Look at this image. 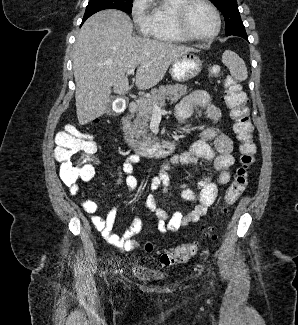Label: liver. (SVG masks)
I'll return each mask as SVG.
<instances>
[{
	"mask_svg": "<svg viewBox=\"0 0 298 325\" xmlns=\"http://www.w3.org/2000/svg\"><path fill=\"white\" fill-rule=\"evenodd\" d=\"M133 24L126 12L107 8L92 14L76 36L73 70L79 124H87L107 112L111 92L130 90L129 68H136L139 90L156 86L170 64L186 52H199L185 44L132 36Z\"/></svg>",
	"mask_w": 298,
	"mask_h": 325,
	"instance_id": "liver-1",
	"label": "liver"
}]
</instances>
